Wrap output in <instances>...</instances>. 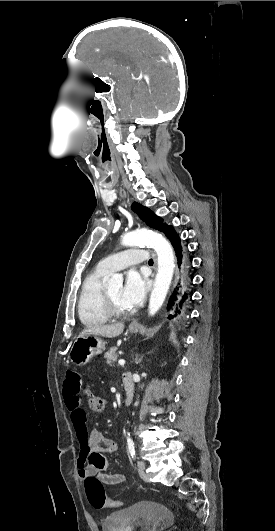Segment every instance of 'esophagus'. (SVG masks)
Wrapping results in <instances>:
<instances>
[{"label": "esophagus", "mask_w": 275, "mask_h": 531, "mask_svg": "<svg viewBox=\"0 0 275 531\" xmlns=\"http://www.w3.org/2000/svg\"><path fill=\"white\" fill-rule=\"evenodd\" d=\"M119 193H120L121 198L124 200V204L126 205V204H127V199H126V198H127V195H126V191H125L124 189L121 188L120 191H119ZM130 327H132V328L137 327V322H132V323L130 324Z\"/></svg>", "instance_id": "esophagus-1"}]
</instances>
